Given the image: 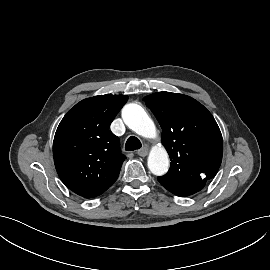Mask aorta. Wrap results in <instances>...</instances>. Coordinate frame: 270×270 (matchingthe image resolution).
<instances>
[{
  "label": "aorta",
  "instance_id": "762f6f07",
  "mask_svg": "<svg viewBox=\"0 0 270 270\" xmlns=\"http://www.w3.org/2000/svg\"><path fill=\"white\" fill-rule=\"evenodd\" d=\"M125 124L137 134L145 138L156 136V127L146 111L138 104L130 103L122 110ZM148 168L157 176L164 175L169 169V157L163 147L153 148L148 156Z\"/></svg>",
  "mask_w": 270,
  "mask_h": 270
}]
</instances>
